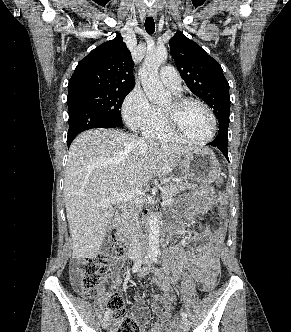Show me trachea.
Instances as JSON below:
<instances>
[{"instance_id": "trachea-1", "label": "trachea", "mask_w": 291, "mask_h": 332, "mask_svg": "<svg viewBox=\"0 0 291 332\" xmlns=\"http://www.w3.org/2000/svg\"><path fill=\"white\" fill-rule=\"evenodd\" d=\"M145 30L147 33L152 34L155 31V23L153 17H147L145 20Z\"/></svg>"}]
</instances>
